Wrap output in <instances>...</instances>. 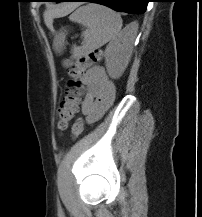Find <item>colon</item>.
Wrapping results in <instances>:
<instances>
[{
	"label": "colon",
	"instance_id": "1",
	"mask_svg": "<svg viewBox=\"0 0 202 217\" xmlns=\"http://www.w3.org/2000/svg\"><path fill=\"white\" fill-rule=\"evenodd\" d=\"M102 52L100 50H94L87 55L79 58L75 63L69 66L68 74L70 76L69 87L74 88L79 85V78L85 71V69L102 59ZM78 111V98L74 92L69 91L63 98L57 118V128L64 130L73 119L74 115ZM84 129V123L82 119H78L71 128V134L74 138L79 137Z\"/></svg>",
	"mask_w": 202,
	"mask_h": 217
}]
</instances>
